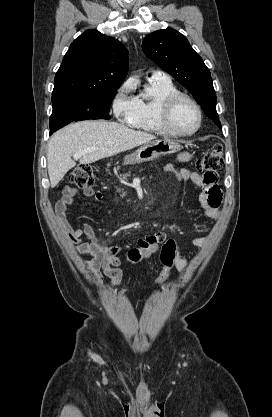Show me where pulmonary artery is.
<instances>
[{
  "instance_id": "1",
  "label": "pulmonary artery",
  "mask_w": 272,
  "mask_h": 417,
  "mask_svg": "<svg viewBox=\"0 0 272 417\" xmlns=\"http://www.w3.org/2000/svg\"><path fill=\"white\" fill-rule=\"evenodd\" d=\"M148 77L152 79H168V76L161 70H151L148 72Z\"/></svg>"
}]
</instances>
